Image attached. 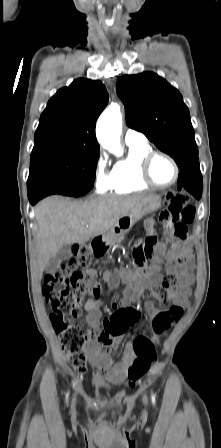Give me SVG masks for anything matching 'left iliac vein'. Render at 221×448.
<instances>
[{
	"mask_svg": "<svg viewBox=\"0 0 221 448\" xmlns=\"http://www.w3.org/2000/svg\"><path fill=\"white\" fill-rule=\"evenodd\" d=\"M143 401H144L145 404L147 403V398H146V396H144Z\"/></svg>",
	"mask_w": 221,
	"mask_h": 448,
	"instance_id": "1",
	"label": "left iliac vein"
}]
</instances>
